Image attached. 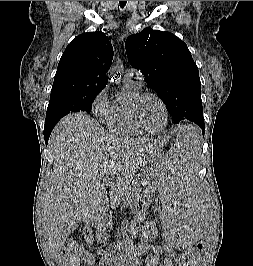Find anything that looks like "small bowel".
<instances>
[{
    "label": "small bowel",
    "instance_id": "c3829d8e",
    "mask_svg": "<svg viewBox=\"0 0 253 266\" xmlns=\"http://www.w3.org/2000/svg\"><path fill=\"white\" fill-rule=\"evenodd\" d=\"M154 253L156 254H167V250L162 247L153 248ZM139 253L136 251H123L118 256V262L116 263L119 266H140L141 263L138 259ZM110 258L105 257L101 261H99L96 266H107L110 265ZM144 266H176V262L169 255H166L161 261L156 258H148L144 262Z\"/></svg>",
    "mask_w": 253,
    "mask_h": 266
}]
</instances>
